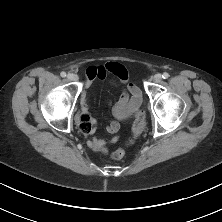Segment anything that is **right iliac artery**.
I'll list each match as a JSON object with an SVG mask.
<instances>
[{
  "label": "right iliac artery",
  "instance_id": "82829eb1",
  "mask_svg": "<svg viewBox=\"0 0 222 222\" xmlns=\"http://www.w3.org/2000/svg\"><path fill=\"white\" fill-rule=\"evenodd\" d=\"M61 77H66V73L65 72H61Z\"/></svg>",
  "mask_w": 222,
  "mask_h": 222
}]
</instances>
